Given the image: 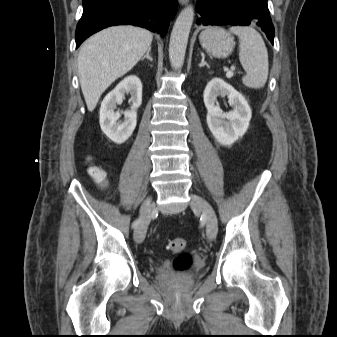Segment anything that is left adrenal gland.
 Instances as JSON below:
<instances>
[{
	"instance_id": "1",
	"label": "left adrenal gland",
	"mask_w": 337,
	"mask_h": 337,
	"mask_svg": "<svg viewBox=\"0 0 337 337\" xmlns=\"http://www.w3.org/2000/svg\"><path fill=\"white\" fill-rule=\"evenodd\" d=\"M201 56H202V60H201V63L199 64V67H203V66H207L209 68V65L207 64V62L205 61V56H204V53H201Z\"/></svg>"
}]
</instances>
